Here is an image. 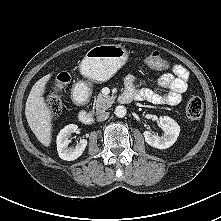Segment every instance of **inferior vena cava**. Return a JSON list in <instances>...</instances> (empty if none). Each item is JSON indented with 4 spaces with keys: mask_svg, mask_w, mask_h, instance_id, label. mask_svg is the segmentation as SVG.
Masks as SVG:
<instances>
[{
    "mask_svg": "<svg viewBox=\"0 0 221 221\" xmlns=\"http://www.w3.org/2000/svg\"><path fill=\"white\" fill-rule=\"evenodd\" d=\"M108 117H109V113L104 112V113L97 115L96 118H97V121H105Z\"/></svg>",
    "mask_w": 221,
    "mask_h": 221,
    "instance_id": "1",
    "label": "inferior vena cava"
}]
</instances>
